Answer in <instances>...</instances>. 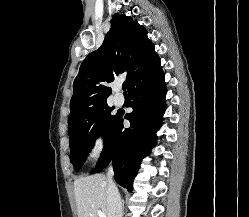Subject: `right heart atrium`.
<instances>
[{
	"mask_svg": "<svg viewBox=\"0 0 249 217\" xmlns=\"http://www.w3.org/2000/svg\"><path fill=\"white\" fill-rule=\"evenodd\" d=\"M102 146H103V136L102 134L98 133L95 135L92 142L91 152L93 153V155L98 154V152L102 149Z\"/></svg>",
	"mask_w": 249,
	"mask_h": 217,
	"instance_id": "right-heart-atrium-1",
	"label": "right heart atrium"
}]
</instances>
